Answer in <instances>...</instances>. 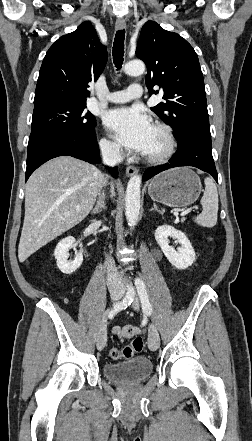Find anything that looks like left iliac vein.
I'll return each instance as SVG.
<instances>
[{
    "instance_id": "4c4485c4",
    "label": "left iliac vein",
    "mask_w": 252,
    "mask_h": 441,
    "mask_svg": "<svg viewBox=\"0 0 252 441\" xmlns=\"http://www.w3.org/2000/svg\"><path fill=\"white\" fill-rule=\"evenodd\" d=\"M132 307L135 310H138V308H139V301H138L137 297H135V300H134V302L132 304ZM148 335H149L148 347H149V349L151 351H156L159 348V345H160V337H159V334H158V331H157L156 327L153 324H150V326H149Z\"/></svg>"
}]
</instances>
